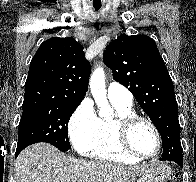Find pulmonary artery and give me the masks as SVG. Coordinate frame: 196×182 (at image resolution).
<instances>
[{"label":"pulmonary artery","mask_w":196,"mask_h":182,"mask_svg":"<svg viewBox=\"0 0 196 182\" xmlns=\"http://www.w3.org/2000/svg\"><path fill=\"white\" fill-rule=\"evenodd\" d=\"M107 95L111 101L132 104L133 96L131 92L119 83H110L107 88Z\"/></svg>","instance_id":"obj_1"}]
</instances>
